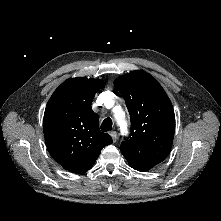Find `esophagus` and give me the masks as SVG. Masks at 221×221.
Here are the masks:
<instances>
[{
    "instance_id": "1",
    "label": "esophagus",
    "mask_w": 221,
    "mask_h": 221,
    "mask_svg": "<svg viewBox=\"0 0 221 221\" xmlns=\"http://www.w3.org/2000/svg\"><path fill=\"white\" fill-rule=\"evenodd\" d=\"M110 135H111L113 141L116 142V141H117V138H118V137H117V132H116V131H111V132H110Z\"/></svg>"
}]
</instances>
